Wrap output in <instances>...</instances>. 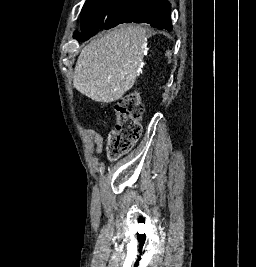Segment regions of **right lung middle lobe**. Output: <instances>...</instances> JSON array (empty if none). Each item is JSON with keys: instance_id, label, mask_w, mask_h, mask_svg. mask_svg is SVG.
<instances>
[{"instance_id": "obj_1", "label": "right lung middle lobe", "mask_w": 256, "mask_h": 267, "mask_svg": "<svg viewBox=\"0 0 256 267\" xmlns=\"http://www.w3.org/2000/svg\"><path fill=\"white\" fill-rule=\"evenodd\" d=\"M141 0H86L81 12V32L78 41L88 40L102 29H109Z\"/></svg>"}]
</instances>
